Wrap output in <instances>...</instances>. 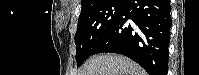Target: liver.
<instances>
[{
	"mask_svg": "<svg viewBox=\"0 0 199 75\" xmlns=\"http://www.w3.org/2000/svg\"><path fill=\"white\" fill-rule=\"evenodd\" d=\"M78 75H146V72L125 56L99 54L91 57Z\"/></svg>",
	"mask_w": 199,
	"mask_h": 75,
	"instance_id": "liver-1",
	"label": "liver"
}]
</instances>
